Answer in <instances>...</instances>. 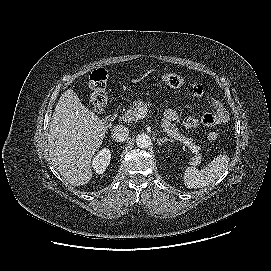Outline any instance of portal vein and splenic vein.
<instances>
[{
	"instance_id": "obj_1",
	"label": "portal vein and splenic vein",
	"mask_w": 271,
	"mask_h": 271,
	"mask_svg": "<svg viewBox=\"0 0 271 271\" xmlns=\"http://www.w3.org/2000/svg\"><path fill=\"white\" fill-rule=\"evenodd\" d=\"M146 114H147V107H143L139 109L137 113V117L141 119V118H144Z\"/></svg>"
}]
</instances>
